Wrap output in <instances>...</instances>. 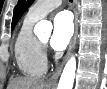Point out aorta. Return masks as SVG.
Masks as SVG:
<instances>
[{"label":"aorta","instance_id":"obj_1","mask_svg":"<svg viewBox=\"0 0 107 89\" xmlns=\"http://www.w3.org/2000/svg\"><path fill=\"white\" fill-rule=\"evenodd\" d=\"M52 24L47 20H41L34 28L36 35L50 37ZM76 71V59L72 56L66 63L61 74L58 89H72Z\"/></svg>","mask_w":107,"mask_h":89}]
</instances>
